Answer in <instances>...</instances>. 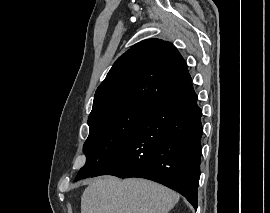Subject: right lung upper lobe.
I'll return each mask as SVG.
<instances>
[{"label": "right lung upper lobe", "mask_w": 270, "mask_h": 213, "mask_svg": "<svg viewBox=\"0 0 270 213\" xmlns=\"http://www.w3.org/2000/svg\"><path fill=\"white\" fill-rule=\"evenodd\" d=\"M192 80L176 47L147 39L120 56L96 90L91 119L119 105L145 100L159 103Z\"/></svg>", "instance_id": "1"}]
</instances>
